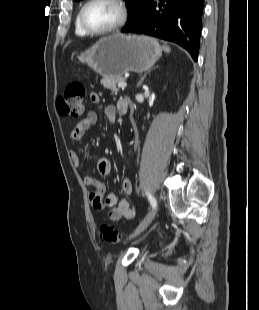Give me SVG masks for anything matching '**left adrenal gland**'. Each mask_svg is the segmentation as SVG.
I'll use <instances>...</instances> for the list:
<instances>
[{"instance_id": "left-adrenal-gland-1", "label": "left adrenal gland", "mask_w": 259, "mask_h": 310, "mask_svg": "<svg viewBox=\"0 0 259 310\" xmlns=\"http://www.w3.org/2000/svg\"><path fill=\"white\" fill-rule=\"evenodd\" d=\"M146 76H147V74H145V75L140 79V81H139L137 87H140V86L142 85V83H143L144 79L146 78Z\"/></svg>"}]
</instances>
